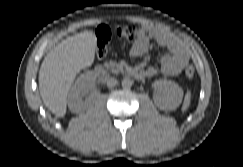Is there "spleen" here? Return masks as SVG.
<instances>
[{"mask_svg": "<svg viewBox=\"0 0 243 167\" xmlns=\"http://www.w3.org/2000/svg\"><path fill=\"white\" fill-rule=\"evenodd\" d=\"M190 100H191V93H190V91H188L186 96H185V99H184L182 111H186L187 110V108L190 105Z\"/></svg>", "mask_w": 243, "mask_h": 167, "instance_id": "spleen-1", "label": "spleen"}]
</instances>
